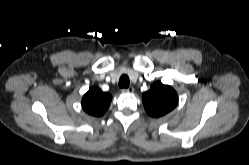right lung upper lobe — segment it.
<instances>
[{
	"instance_id": "1",
	"label": "right lung upper lobe",
	"mask_w": 249,
	"mask_h": 165,
	"mask_svg": "<svg viewBox=\"0 0 249 165\" xmlns=\"http://www.w3.org/2000/svg\"><path fill=\"white\" fill-rule=\"evenodd\" d=\"M112 96L98 88H90L82 98L83 110L92 116H102L108 109Z\"/></svg>"
}]
</instances>
